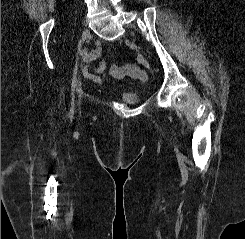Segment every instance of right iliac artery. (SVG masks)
<instances>
[{
  "label": "right iliac artery",
  "mask_w": 245,
  "mask_h": 239,
  "mask_svg": "<svg viewBox=\"0 0 245 239\" xmlns=\"http://www.w3.org/2000/svg\"><path fill=\"white\" fill-rule=\"evenodd\" d=\"M83 44V40H80L78 43V53L81 50ZM78 60V58H77ZM77 73H78V62L75 65L74 72H73V79L71 83V107H70V112L73 113L74 108H75V89L77 86Z\"/></svg>",
  "instance_id": "obj_1"
}]
</instances>
